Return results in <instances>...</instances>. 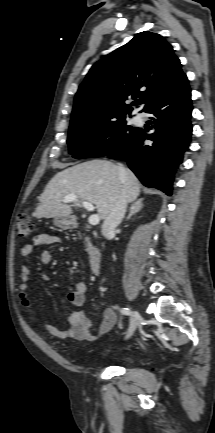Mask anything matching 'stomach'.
<instances>
[{"instance_id": "1", "label": "stomach", "mask_w": 215, "mask_h": 433, "mask_svg": "<svg viewBox=\"0 0 215 433\" xmlns=\"http://www.w3.org/2000/svg\"><path fill=\"white\" fill-rule=\"evenodd\" d=\"M54 224L55 226L66 230L73 228L76 224V220L73 216L55 217Z\"/></svg>"}]
</instances>
